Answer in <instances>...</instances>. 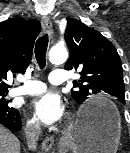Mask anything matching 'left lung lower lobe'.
Returning a JSON list of instances; mask_svg holds the SVG:
<instances>
[{"label": "left lung lower lobe", "instance_id": "0a47b994", "mask_svg": "<svg viewBox=\"0 0 130 153\" xmlns=\"http://www.w3.org/2000/svg\"><path fill=\"white\" fill-rule=\"evenodd\" d=\"M122 104H125V101H122L121 102ZM109 111L108 108H103V109H96V108H87L82 116L85 120H90L92 119L93 117L99 115L100 113H103V112H107Z\"/></svg>", "mask_w": 130, "mask_h": 153}]
</instances>
